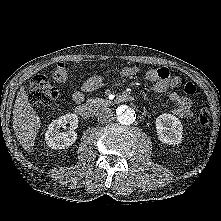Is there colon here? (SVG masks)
Returning <instances> with one entry per match:
<instances>
[{"label":"colon","instance_id":"1","mask_svg":"<svg viewBox=\"0 0 221 221\" xmlns=\"http://www.w3.org/2000/svg\"><path fill=\"white\" fill-rule=\"evenodd\" d=\"M67 67L65 63H58L53 71V78L59 82L67 79ZM183 91L188 95L196 92V87L191 82L182 83ZM57 90L50 84L48 78L43 75H36L29 84V100L37 106L51 104L57 97ZM210 122V112L206 107H202L197 112V123L204 127Z\"/></svg>","mask_w":221,"mask_h":221}]
</instances>
